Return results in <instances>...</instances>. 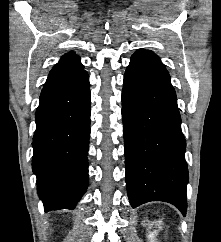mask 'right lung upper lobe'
<instances>
[{
  "instance_id": "cb5924a9",
  "label": "right lung upper lobe",
  "mask_w": 221,
  "mask_h": 242,
  "mask_svg": "<svg viewBox=\"0 0 221 242\" xmlns=\"http://www.w3.org/2000/svg\"><path fill=\"white\" fill-rule=\"evenodd\" d=\"M83 68L84 66L80 62V57L75 52L67 53L52 68L44 85L68 78L82 71Z\"/></svg>"
}]
</instances>
